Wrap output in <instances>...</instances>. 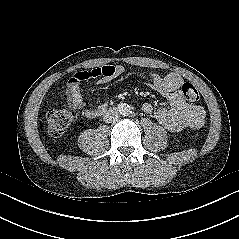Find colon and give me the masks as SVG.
I'll return each mask as SVG.
<instances>
[{
    "mask_svg": "<svg viewBox=\"0 0 239 239\" xmlns=\"http://www.w3.org/2000/svg\"><path fill=\"white\" fill-rule=\"evenodd\" d=\"M181 91L189 102L195 103L200 99L198 90L189 82L182 84ZM73 119L74 112L70 109L51 110L47 114L49 133L53 136H59L63 134L71 125Z\"/></svg>",
    "mask_w": 239,
    "mask_h": 239,
    "instance_id": "colon-1",
    "label": "colon"
}]
</instances>
